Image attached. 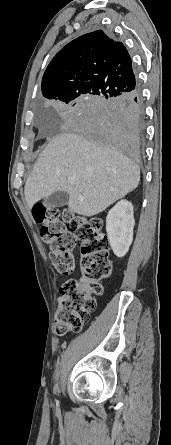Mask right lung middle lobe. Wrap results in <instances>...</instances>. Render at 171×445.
Wrapping results in <instances>:
<instances>
[{"instance_id":"dd1d6c3e","label":"right lung middle lobe","mask_w":171,"mask_h":445,"mask_svg":"<svg viewBox=\"0 0 171 445\" xmlns=\"http://www.w3.org/2000/svg\"><path fill=\"white\" fill-rule=\"evenodd\" d=\"M82 99L84 102V110L82 113V117L86 121H90L91 119V113L94 109V107L103 100L104 96L100 95L96 92H84V93H78V94H72L68 95L65 98L60 99L61 101H64L66 103H69L75 99Z\"/></svg>"}]
</instances>
